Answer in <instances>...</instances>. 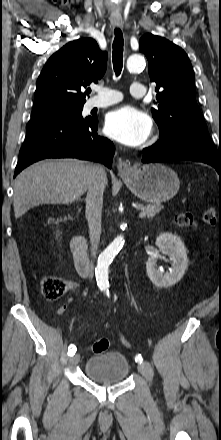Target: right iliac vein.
Returning <instances> with one entry per match:
<instances>
[{
	"mask_svg": "<svg viewBox=\"0 0 221 440\" xmlns=\"http://www.w3.org/2000/svg\"><path fill=\"white\" fill-rule=\"evenodd\" d=\"M79 359H80V356L78 354H76L69 359V362H70V364L74 365L79 362Z\"/></svg>",
	"mask_w": 221,
	"mask_h": 440,
	"instance_id": "right-iliac-vein-1",
	"label": "right iliac vein"
}]
</instances>
